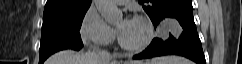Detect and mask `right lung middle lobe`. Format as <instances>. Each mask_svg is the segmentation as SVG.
I'll list each match as a JSON object with an SVG mask.
<instances>
[{"instance_id":"right-lung-middle-lobe-1","label":"right lung middle lobe","mask_w":242,"mask_h":64,"mask_svg":"<svg viewBox=\"0 0 242 64\" xmlns=\"http://www.w3.org/2000/svg\"><path fill=\"white\" fill-rule=\"evenodd\" d=\"M86 11L43 15L39 64L53 53L73 49L80 50L83 43L80 28Z\"/></svg>"}]
</instances>
